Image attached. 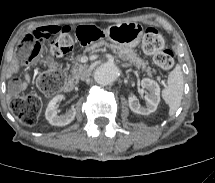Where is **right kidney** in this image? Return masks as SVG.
<instances>
[{
	"mask_svg": "<svg viewBox=\"0 0 215 183\" xmlns=\"http://www.w3.org/2000/svg\"><path fill=\"white\" fill-rule=\"evenodd\" d=\"M64 99L63 95H56L48 103V106L45 111V117L49 123L53 126H66L70 124L76 115L75 108H70L66 111L64 115H57V106Z\"/></svg>",
	"mask_w": 215,
	"mask_h": 183,
	"instance_id": "ca27d5eb",
	"label": "right kidney"
}]
</instances>
